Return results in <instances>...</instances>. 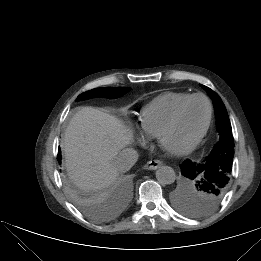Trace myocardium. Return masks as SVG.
<instances>
[{
	"label": "myocardium",
	"instance_id": "obj_1",
	"mask_svg": "<svg viewBox=\"0 0 261 261\" xmlns=\"http://www.w3.org/2000/svg\"><path fill=\"white\" fill-rule=\"evenodd\" d=\"M194 99H203L207 105V118H206V121H205V124H204L202 130L190 143L186 144L185 146H182V147L176 148V149H170V148L165 147L164 139H165L166 135L171 131V129L177 123V120H178L179 115H180L181 111L183 110V108L190 101H192ZM212 114H213V107L207 96H205L203 94H199V93L190 95L174 109V111L172 112L168 121L166 122V124L163 126V128L159 132V134L157 136V141H158L159 145L162 146L163 148H166L170 153L177 155V156H182V155L191 153L193 150H195L198 147V145L202 142L205 135L207 134L208 129L211 124Z\"/></svg>",
	"mask_w": 261,
	"mask_h": 261
}]
</instances>
